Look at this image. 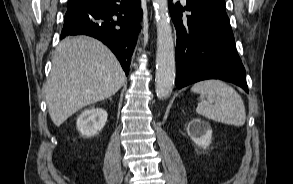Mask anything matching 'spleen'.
I'll use <instances>...</instances> for the list:
<instances>
[{
    "mask_svg": "<svg viewBox=\"0 0 293 184\" xmlns=\"http://www.w3.org/2000/svg\"><path fill=\"white\" fill-rule=\"evenodd\" d=\"M191 91L200 94L196 108L199 115L229 125H244L246 112L242 97L227 83L216 79L204 80L195 83Z\"/></svg>",
    "mask_w": 293,
    "mask_h": 184,
    "instance_id": "spleen-1",
    "label": "spleen"
}]
</instances>
